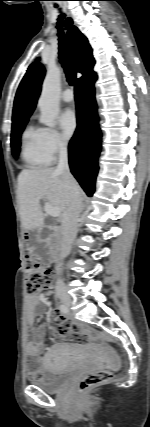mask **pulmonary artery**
I'll use <instances>...</instances> for the list:
<instances>
[{
    "mask_svg": "<svg viewBox=\"0 0 150 427\" xmlns=\"http://www.w3.org/2000/svg\"><path fill=\"white\" fill-rule=\"evenodd\" d=\"M61 98L65 102H71L74 98L73 92L70 89H66L63 91Z\"/></svg>",
    "mask_w": 150,
    "mask_h": 427,
    "instance_id": "pulmonary-artery-1",
    "label": "pulmonary artery"
}]
</instances>
